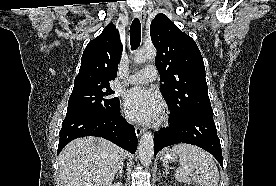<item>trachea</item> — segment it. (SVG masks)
I'll use <instances>...</instances> for the list:
<instances>
[{"mask_svg":"<svg viewBox=\"0 0 276 186\" xmlns=\"http://www.w3.org/2000/svg\"><path fill=\"white\" fill-rule=\"evenodd\" d=\"M141 41V23L138 18H135L130 27V44L131 49L135 50L140 45Z\"/></svg>","mask_w":276,"mask_h":186,"instance_id":"1","label":"trachea"}]
</instances>
